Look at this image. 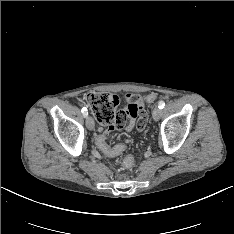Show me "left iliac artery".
<instances>
[{
	"label": "left iliac artery",
	"instance_id": "obj_1",
	"mask_svg": "<svg viewBox=\"0 0 234 234\" xmlns=\"http://www.w3.org/2000/svg\"><path fill=\"white\" fill-rule=\"evenodd\" d=\"M164 106H165V102H164V101H159L158 107H159L160 109H162V108H164Z\"/></svg>",
	"mask_w": 234,
	"mask_h": 234
}]
</instances>
